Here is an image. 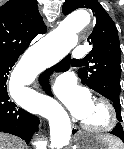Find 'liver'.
Wrapping results in <instances>:
<instances>
[{
	"mask_svg": "<svg viewBox=\"0 0 124 149\" xmlns=\"http://www.w3.org/2000/svg\"><path fill=\"white\" fill-rule=\"evenodd\" d=\"M0 149H23V145L16 137L0 134Z\"/></svg>",
	"mask_w": 124,
	"mask_h": 149,
	"instance_id": "obj_1",
	"label": "liver"
}]
</instances>
